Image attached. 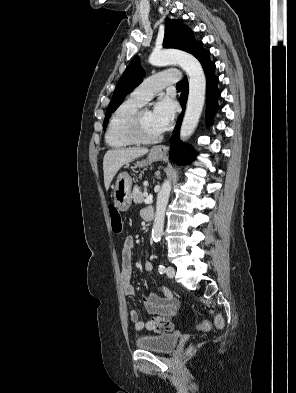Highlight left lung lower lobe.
<instances>
[{
  "mask_svg": "<svg viewBox=\"0 0 296 393\" xmlns=\"http://www.w3.org/2000/svg\"><path fill=\"white\" fill-rule=\"evenodd\" d=\"M208 52L199 61L201 62L204 72L206 74L207 82V106H206V123L209 124L218 109L217 100L220 92L217 89L218 78L215 76V64L210 61ZM184 90L180 96V103L184 110L187 96H188V82L184 79ZM183 112L180 114L174 133L171 138L170 154L169 157L178 165H184L191 162L195 156V151L188 145L184 144L179 139V128L182 121Z\"/></svg>",
  "mask_w": 296,
  "mask_h": 393,
  "instance_id": "left-lung-lower-lobe-1",
  "label": "left lung lower lobe"
}]
</instances>
